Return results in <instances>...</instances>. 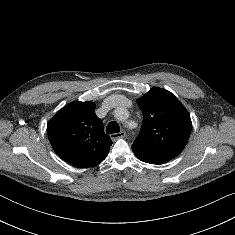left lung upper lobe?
<instances>
[{"instance_id":"obj_1","label":"left lung upper lobe","mask_w":235,"mask_h":235,"mask_svg":"<svg viewBox=\"0 0 235 235\" xmlns=\"http://www.w3.org/2000/svg\"><path fill=\"white\" fill-rule=\"evenodd\" d=\"M141 130L132 145L137 154L173 159L186 146L192 128L186 108L169 91L154 87L138 101Z\"/></svg>"}]
</instances>
